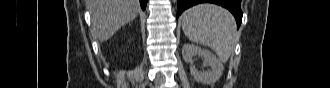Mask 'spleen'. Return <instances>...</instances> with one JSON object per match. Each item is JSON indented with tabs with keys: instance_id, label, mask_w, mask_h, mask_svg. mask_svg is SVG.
<instances>
[{
	"instance_id": "obj_1",
	"label": "spleen",
	"mask_w": 330,
	"mask_h": 88,
	"mask_svg": "<svg viewBox=\"0 0 330 88\" xmlns=\"http://www.w3.org/2000/svg\"><path fill=\"white\" fill-rule=\"evenodd\" d=\"M181 19L189 40L210 47L221 62L228 61L237 43L235 19L228 10L204 3L184 11Z\"/></svg>"
}]
</instances>
